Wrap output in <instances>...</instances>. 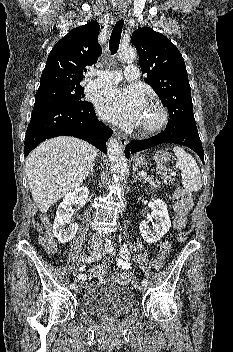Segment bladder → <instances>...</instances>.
Returning <instances> with one entry per match:
<instances>
[{
  "label": "bladder",
  "mask_w": 233,
  "mask_h": 352,
  "mask_svg": "<svg viewBox=\"0 0 233 352\" xmlns=\"http://www.w3.org/2000/svg\"><path fill=\"white\" fill-rule=\"evenodd\" d=\"M82 303L84 309L90 313L120 316L135 307L136 294L127 286L102 281L87 288Z\"/></svg>",
  "instance_id": "31cf9c89"
}]
</instances>
